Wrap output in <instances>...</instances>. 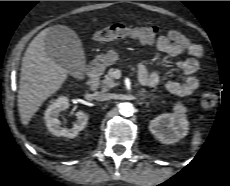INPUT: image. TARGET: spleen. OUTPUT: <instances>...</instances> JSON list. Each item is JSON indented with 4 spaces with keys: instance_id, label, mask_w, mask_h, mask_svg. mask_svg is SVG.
<instances>
[{
    "instance_id": "obj_1",
    "label": "spleen",
    "mask_w": 230,
    "mask_h": 186,
    "mask_svg": "<svg viewBox=\"0 0 230 186\" xmlns=\"http://www.w3.org/2000/svg\"><path fill=\"white\" fill-rule=\"evenodd\" d=\"M200 142H201L200 134H199V132H196L194 135V138L192 140V146H196V145L200 144Z\"/></svg>"
}]
</instances>
